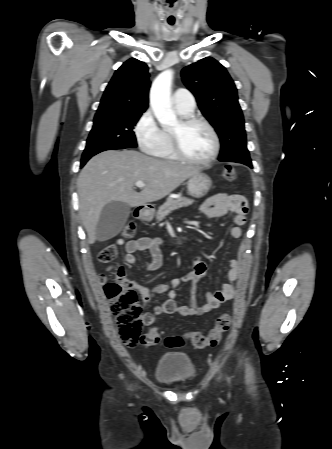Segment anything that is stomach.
Instances as JSON below:
<instances>
[{"instance_id":"obj_1","label":"stomach","mask_w":332,"mask_h":449,"mask_svg":"<svg viewBox=\"0 0 332 449\" xmlns=\"http://www.w3.org/2000/svg\"><path fill=\"white\" fill-rule=\"evenodd\" d=\"M211 185L212 181L210 177L200 171L191 176L187 182L188 192L194 198L204 197L210 190ZM141 216L145 220H150L153 217V211L145 210Z\"/></svg>"}]
</instances>
